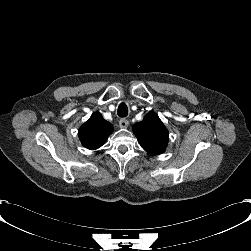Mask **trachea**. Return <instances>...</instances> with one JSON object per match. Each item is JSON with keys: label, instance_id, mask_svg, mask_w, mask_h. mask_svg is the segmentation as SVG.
<instances>
[{"label": "trachea", "instance_id": "obj_1", "mask_svg": "<svg viewBox=\"0 0 251 251\" xmlns=\"http://www.w3.org/2000/svg\"><path fill=\"white\" fill-rule=\"evenodd\" d=\"M117 114L120 118H125L128 115V107L125 103L119 105Z\"/></svg>", "mask_w": 251, "mask_h": 251}]
</instances>
